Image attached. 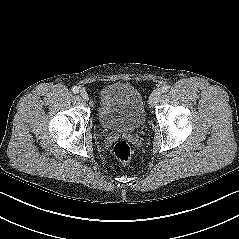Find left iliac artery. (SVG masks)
I'll return each mask as SVG.
<instances>
[{
    "mask_svg": "<svg viewBox=\"0 0 239 239\" xmlns=\"http://www.w3.org/2000/svg\"><path fill=\"white\" fill-rule=\"evenodd\" d=\"M161 90H162L163 93H166L169 90V86L164 85V86H162Z\"/></svg>",
    "mask_w": 239,
    "mask_h": 239,
    "instance_id": "left-iliac-artery-1",
    "label": "left iliac artery"
}]
</instances>
